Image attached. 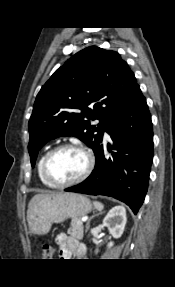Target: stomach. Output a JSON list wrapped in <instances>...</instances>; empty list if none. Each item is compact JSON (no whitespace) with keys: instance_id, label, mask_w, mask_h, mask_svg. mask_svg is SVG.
<instances>
[{"instance_id":"1","label":"stomach","mask_w":175,"mask_h":287,"mask_svg":"<svg viewBox=\"0 0 175 287\" xmlns=\"http://www.w3.org/2000/svg\"><path fill=\"white\" fill-rule=\"evenodd\" d=\"M92 210L91 201L82 194L62 192L48 196L36 203L27 213V222L32 233L47 234L53 223H62L67 218H80Z\"/></svg>"}]
</instances>
